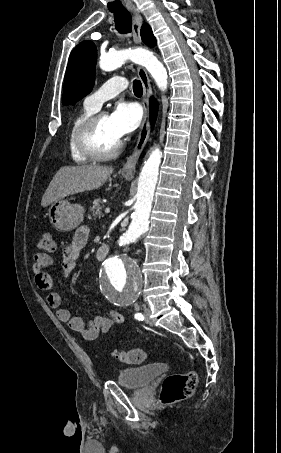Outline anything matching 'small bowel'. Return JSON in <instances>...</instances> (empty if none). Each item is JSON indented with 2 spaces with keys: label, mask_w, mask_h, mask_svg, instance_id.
Wrapping results in <instances>:
<instances>
[{
  "label": "small bowel",
  "mask_w": 281,
  "mask_h": 453,
  "mask_svg": "<svg viewBox=\"0 0 281 453\" xmlns=\"http://www.w3.org/2000/svg\"><path fill=\"white\" fill-rule=\"evenodd\" d=\"M89 240L88 228L85 225L79 226L74 235L72 242L63 247L62 250V273L65 276L73 275L75 265L80 254ZM99 245H106L101 243ZM52 257L46 253L39 252L33 256L32 267L37 287L48 292L46 294L49 305L57 309V316L60 321L68 323L69 327L78 332L83 339L93 340L107 332L111 327L123 322V316L114 313L111 317L95 315L89 322H85L81 317L73 316L72 313L62 308L61 296L58 292L51 291L52 282L50 277V268Z\"/></svg>",
  "instance_id": "obj_1"
}]
</instances>
